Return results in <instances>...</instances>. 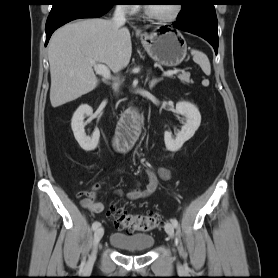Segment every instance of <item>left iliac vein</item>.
Returning <instances> with one entry per match:
<instances>
[{"instance_id":"obj_1","label":"left iliac vein","mask_w":278,"mask_h":278,"mask_svg":"<svg viewBox=\"0 0 278 278\" xmlns=\"http://www.w3.org/2000/svg\"><path fill=\"white\" fill-rule=\"evenodd\" d=\"M165 231L168 234L169 237H173L174 236V226L171 222H166L165 223Z\"/></svg>"}]
</instances>
